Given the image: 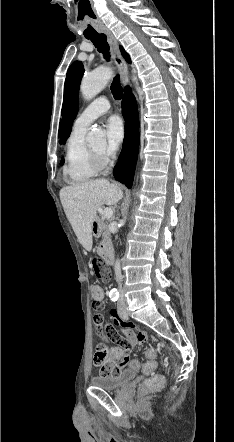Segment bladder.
Returning <instances> with one entry per match:
<instances>
[{"mask_svg": "<svg viewBox=\"0 0 234 442\" xmlns=\"http://www.w3.org/2000/svg\"><path fill=\"white\" fill-rule=\"evenodd\" d=\"M135 376V370L126 368L109 375L93 376L91 378V384L103 390H116L132 381Z\"/></svg>", "mask_w": 234, "mask_h": 442, "instance_id": "obj_1", "label": "bladder"}]
</instances>
